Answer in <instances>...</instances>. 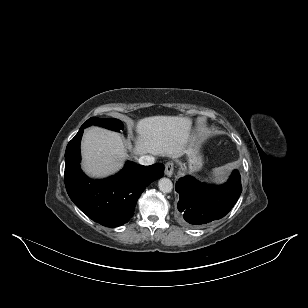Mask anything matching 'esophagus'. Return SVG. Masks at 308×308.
I'll use <instances>...</instances> for the list:
<instances>
[{
  "label": "esophagus",
  "mask_w": 308,
  "mask_h": 308,
  "mask_svg": "<svg viewBox=\"0 0 308 308\" xmlns=\"http://www.w3.org/2000/svg\"><path fill=\"white\" fill-rule=\"evenodd\" d=\"M174 172V164L172 162H167L165 165V175L171 177Z\"/></svg>",
  "instance_id": "1"
}]
</instances>
